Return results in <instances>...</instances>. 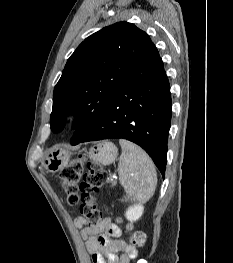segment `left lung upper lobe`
<instances>
[{
    "label": "left lung upper lobe",
    "mask_w": 233,
    "mask_h": 263,
    "mask_svg": "<svg viewBox=\"0 0 233 263\" xmlns=\"http://www.w3.org/2000/svg\"><path fill=\"white\" fill-rule=\"evenodd\" d=\"M151 45L144 31L127 22L86 38L68 59L54 88L51 130H62L64 117L74 114L71 143L85 138Z\"/></svg>",
    "instance_id": "5c2ea615"
}]
</instances>
